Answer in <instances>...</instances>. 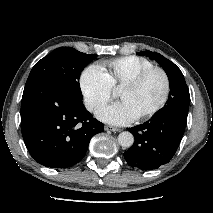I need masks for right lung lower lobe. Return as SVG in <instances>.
<instances>
[{"label": "right lung lower lobe", "mask_w": 213, "mask_h": 213, "mask_svg": "<svg viewBox=\"0 0 213 213\" xmlns=\"http://www.w3.org/2000/svg\"><path fill=\"white\" fill-rule=\"evenodd\" d=\"M21 129L30 155L41 165L67 168L78 163L91 138L103 131L82 102L56 86L26 85L21 103Z\"/></svg>", "instance_id": "1"}]
</instances>
